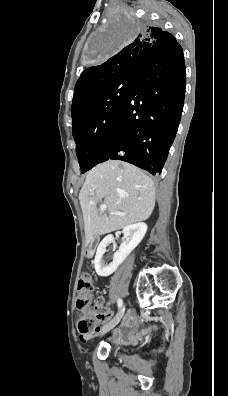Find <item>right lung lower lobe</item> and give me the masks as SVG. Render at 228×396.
Here are the masks:
<instances>
[{
  "label": "right lung lower lobe",
  "mask_w": 228,
  "mask_h": 396,
  "mask_svg": "<svg viewBox=\"0 0 228 396\" xmlns=\"http://www.w3.org/2000/svg\"><path fill=\"white\" fill-rule=\"evenodd\" d=\"M185 63L182 48L155 49L139 63L114 122L109 159L132 163L152 175L162 171L183 110Z\"/></svg>",
  "instance_id": "98d812e1"
}]
</instances>
